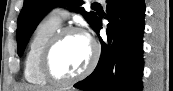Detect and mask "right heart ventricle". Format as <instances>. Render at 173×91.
I'll list each match as a JSON object with an SVG mask.
<instances>
[{"instance_id": "1", "label": "right heart ventricle", "mask_w": 173, "mask_h": 91, "mask_svg": "<svg viewBox=\"0 0 173 91\" xmlns=\"http://www.w3.org/2000/svg\"><path fill=\"white\" fill-rule=\"evenodd\" d=\"M61 21L54 15L43 18L36 26L30 39L25 56L24 76L32 85L45 86L47 81L40 75L38 69L41 51L48 39L60 28Z\"/></svg>"}]
</instances>
